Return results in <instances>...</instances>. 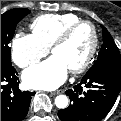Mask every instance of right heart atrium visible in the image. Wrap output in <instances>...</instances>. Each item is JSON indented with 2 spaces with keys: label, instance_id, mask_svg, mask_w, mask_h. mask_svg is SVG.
Wrapping results in <instances>:
<instances>
[{
  "label": "right heart atrium",
  "instance_id": "d8ad5b80",
  "mask_svg": "<svg viewBox=\"0 0 121 121\" xmlns=\"http://www.w3.org/2000/svg\"><path fill=\"white\" fill-rule=\"evenodd\" d=\"M49 48L33 34L17 33L11 41V57L20 68H28L46 56Z\"/></svg>",
  "mask_w": 121,
  "mask_h": 121
}]
</instances>
